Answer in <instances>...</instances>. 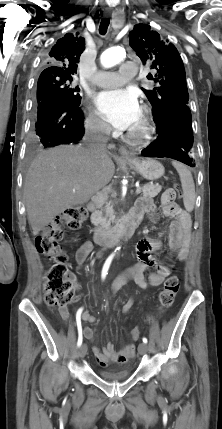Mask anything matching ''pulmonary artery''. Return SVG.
Segmentation results:
<instances>
[{"label": "pulmonary artery", "instance_id": "e3ab8cb5", "mask_svg": "<svg viewBox=\"0 0 222 429\" xmlns=\"http://www.w3.org/2000/svg\"><path fill=\"white\" fill-rule=\"evenodd\" d=\"M137 74V65L126 61L120 65L118 72L99 71L93 82L99 87L112 88L132 79Z\"/></svg>", "mask_w": 222, "mask_h": 429}]
</instances>
